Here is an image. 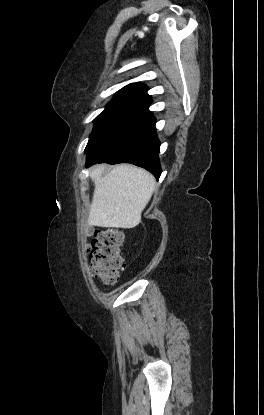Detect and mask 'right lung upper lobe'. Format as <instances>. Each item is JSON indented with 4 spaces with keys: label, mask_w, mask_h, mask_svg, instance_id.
I'll list each match as a JSON object with an SVG mask.
<instances>
[{
    "label": "right lung upper lobe",
    "mask_w": 264,
    "mask_h": 415,
    "mask_svg": "<svg viewBox=\"0 0 264 415\" xmlns=\"http://www.w3.org/2000/svg\"><path fill=\"white\" fill-rule=\"evenodd\" d=\"M147 89L148 88L145 85L140 83H132L119 90L115 96L139 99L144 102L151 99V97L147 94Z\"/></svg>",
    "instance_id": "cb5924a9"
}]
</instances>
